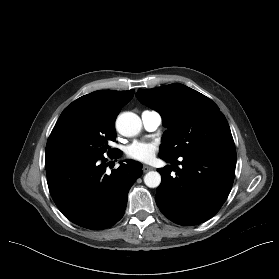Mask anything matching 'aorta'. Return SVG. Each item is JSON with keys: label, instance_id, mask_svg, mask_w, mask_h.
<instances>
[{"label": "aorta", "instance_id": "1", "mask_svg": "<svg viewBox=\"0 0 279 279\" xmlns=\"http://www.w3.org/2000/svg\"><path fill=\"white\" fill-rule=\"evenodd\" d=\"M141 128V119L135 113L123 112L116 119V129L125 137L136 136ZM144 183L149 188H156L161 183V175L157 171H150L144 176Z\"/></svg>", "mask_w": 279, "mask_h": 279}]
</instances>
